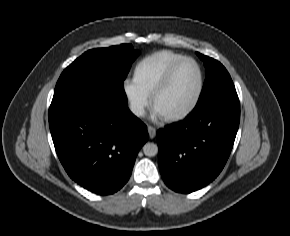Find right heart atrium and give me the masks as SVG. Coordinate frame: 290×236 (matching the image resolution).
Instances as JSON below:
<instances>
[{"label":"right heart atrium","mask_w":290,"mask_h":236,"mask_svg":"<svg viewBox=\"0 0 290 236\" xmlns=\"http://www.w3.org/2000/svg\"><path fill=\"white\" fill-rule=\"evenodd\" d=\"M125 96L133 114H144L148 104V95L143 92L133 81H127L124 85Z\"/></svg>","instance_id":"obj_1"}]
</instances>
